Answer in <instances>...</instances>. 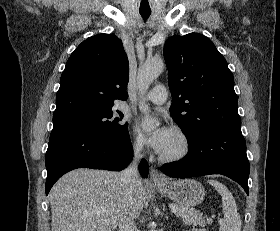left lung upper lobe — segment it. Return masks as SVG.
I'll return each mask as SVG.
<instances>
[{
  "label": "left lung upper lobe",
  "mask_w": 280,
  "mask_h": 231,
  "mask_svg": "<svg viewBox=\"0 0 280 231\" xmlns=\"http://www.w3.org/2000/svg\"><path fill=\"white\" fill-rule=\"evenodd\" d=\"M163 53L171 116L187 139L210 128L241 126L232 72L209 38L175 35L167 39Z\"/></svg>",
  "instance_id": "obj_1"
}]
</instances>
